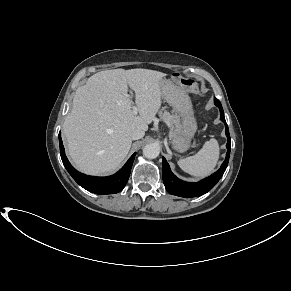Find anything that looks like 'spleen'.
Returning a JSON list of instances; mask_svg holds the SVG:
<instances>
[{
	"mask_svg": "<svg viewBox=\"0 0 291 291\" xmlns=\"http://www.w3.org/2000/svg\"><path fill=\"white\" fill-rule=\"evenodd\" d=\"M219 159V144L216 139L206 141L194 156L178 161L179 167L186 173L204 177L213 172Z\"/></svg>",
	"mask_w": 291,
	"mask_h": 291,
	"instance_id": "spleen-1",
	"label": "spleen"
}]
</instances>
